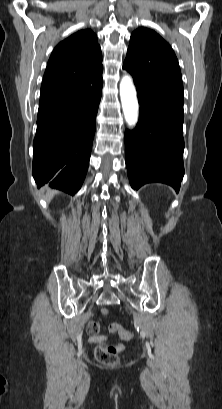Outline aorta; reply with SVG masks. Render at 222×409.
<instances>
[{"label": "aorta", "instance_id": "762f6f07", "mask_svg": "<svg viewBox=\"0 0 222 409\" xmlns=\"http://www.w3.org/2000/svg\"><path fill=\"white\" fill-rule=\"evenodd\" d=\"M120 98L125 120L129 127H134L138 121V101L132 78L125 75L120 82Z\"/></svg>", "mask_w": 222, "mask_h": 409}]
</instances>
